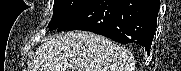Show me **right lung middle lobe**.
<instances>
[{
  "mask_svg": "<svg viewBox=\"0 0 181 71\" xmlns=\"http://www.w3.org/2000/svg\"><path fill=\"white\" fill-rule=\"evenodd\" d=\"M94 0H54L53 16L49 30H54L77 15Z\"/></svg>",
  "mask_w": 181,
  "mask_h": 71,
  "instance_id": "obj_1",
  "label": "right lung middle lobe"
}]
</instances>
